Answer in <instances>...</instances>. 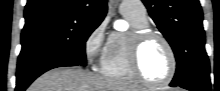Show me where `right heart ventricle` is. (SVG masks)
I'll return each mask as SVG.
<instances>
[{
  "label": "right heart ventricle",
  "mask_w": 220,
  "mask_h": 91,
  "mask_svg": "<svg viewBox=\"0 0 220 91\" xmlns=\"http://www.w3.org/2000/svg\"><path fill=\"white\" fill-rule=\"evenodd\" d=\"M124 16L131 24L132 32L147 29L149 26L147 20H139L130 15ZM131 33L115 32L110 36L100 65L102 75L129 83L136 80L128 64V38Z\"/></svg>",
  "instance_id": "e07e8e85"
}]
</instances>
